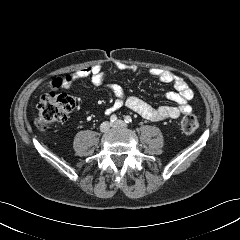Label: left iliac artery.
I'll return each mask as SVG.
<instances>
[{"instance_id": "44dca946", "label": "left iliac artery", "mask_w": 240, "mask_h": 240, "mask_svg": "<svg viewBox=\"0 0 240 240\" xmlns=\"http://www.w3.org/2000/svg\"><path fill=\"white\" fill-rule=\"evenodd\" d=\"M124 121H125V123H131L132 122V119H131V117L130 116H126L125 118H124Z\"/></svg>"}]
</instances>
